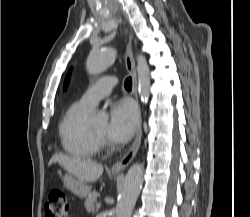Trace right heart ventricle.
I'll return each instance as SVG.
<instances>
[{
  "mask_svg": "<svg viewBox=\"0 0 250 217\" xmlns=\"http://www.w3.org/2000/svg\"><path fill=\"white\" fill-rule=\"evenodd\" d=\"M92 108L76 101L68 106L62 116L58 133L63 150L78 158H92L99 152V144L89 130Z\"/></svg>",
  "mask_w": 250,
  "mask_h": 217,
  "instance_id": "1",
  "label": "right heart ventricle"
}]
</instances>
